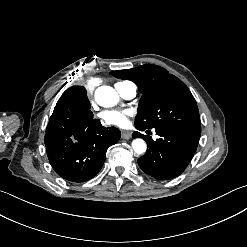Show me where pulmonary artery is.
Wrapping results in <instances>:
<instances>
[{"label": "pulmonary artery", "mask_w": 247, "mask_h": 247, "mask_svg": "<svg viewBox=\"0 0 247 247\" xmlns=\"http://www.w3.org/2000/svg\"><path fill=\"white\" fill-rule=\"evenodd\" d=\"M116 89L119 94L125 99H132L137 94V88L132 83H118Z\"/></svg>", "instance_id": "obj_1"}]
</instances>
